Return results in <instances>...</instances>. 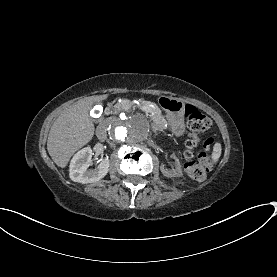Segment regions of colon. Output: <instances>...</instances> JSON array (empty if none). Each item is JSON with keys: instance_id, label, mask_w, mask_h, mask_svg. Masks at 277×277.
<instances>
[{"instance_id": "1", "label": "colon", "mask_w": 277, "mask_h": 277, "mask_svg": "<svg viewBox=\"0 0 277 277\" xmlns=\"http://www.w3.org/2000/svg\"><path fill=\"white\" fill-rule=\"evenodd\" d=\"M184 120L191 130L182 149L186 160L185 171L192 180L201 181L207 175L210 154L215 144L214 137H204V133L211 127V120L191 105L185 108Z\"/></svg>"}]
</instances>
